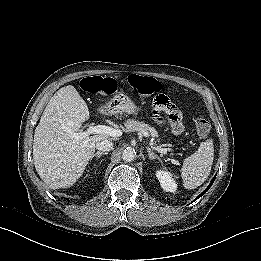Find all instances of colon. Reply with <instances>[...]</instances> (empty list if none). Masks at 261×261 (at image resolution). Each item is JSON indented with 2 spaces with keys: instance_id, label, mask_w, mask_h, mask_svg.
I'll return each instance as SVG.
<instances>
[{
  "instance_id": "5ec220e1",
  "label": "colon",
  "mask_w": 261,
  "mask_h": 261,
  "mask_svg": "<svg viewBox=\"0 0 261 261\" xmlns=\"http://www.w3.org/2000/svg\"><path fill=\"white\" fill-rule=\"evenodd\" d=\"M130 84L140 94L153 97V106L155 111L163 112L167 115L171 128L176 133L183 132L182 115L178 109L171 103L169 98L160 93V83L151 77L132 75ZM80 88L90 94H113L116 91V82L112 79H104L101 77H88L80 81ZM194 122L197 129L205 134L209 131V124L201 117H195Z\"/></svg>"
}]
</instances>
